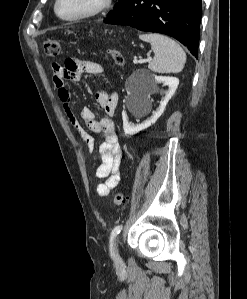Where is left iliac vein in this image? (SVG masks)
Segmentation results:
<instances>
[{
    "mask_svg": "<svg viewBox=\"0 0 247 299\" xmlns=\"http://www.w3.org/2000/svg\"><path fill=\"white\" fill-rule=\"evenodd\" d=\"M118 245H119V238L116 239L115 244H114V260L116 264L121 262V257L118 252Z\"/></svg>",
    "mask_w": 247,
    "mask_h": 299,
    "instance_id": "4c4485c4",
    "label": "left iliac vein"
}]
</instances>
